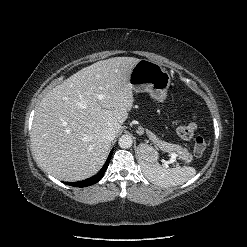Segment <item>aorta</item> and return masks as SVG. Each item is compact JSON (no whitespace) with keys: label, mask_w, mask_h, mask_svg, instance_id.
I'll use <instances>...</instances> for the list:
<instances>
[{"label":"aorta","mask_w":247,"mask_h":247,"mask_svg":"<svg viewBox=\"0 0 247 247\" xmlns=\"http://www.w3.org/2000/svg\"><path fill=\"white\" fill-rule=\"evenodd\" d=\"M118 144L121 148L123 149H127V148H130L133 144V139L131 136L129 135H122L120 138H119V141H118Z\"/></svg>","instance_id":"762f6f07"}]
</instances>
